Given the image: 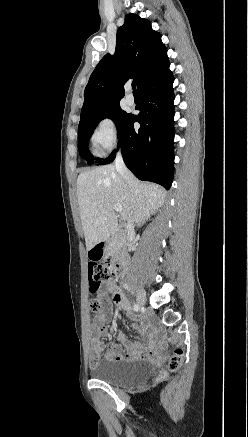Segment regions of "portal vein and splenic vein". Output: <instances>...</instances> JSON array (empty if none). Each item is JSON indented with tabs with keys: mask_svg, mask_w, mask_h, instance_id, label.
<instances>
[{
	"mask_svg": "<svg viewBox=\"0 0 248 437\" xmlns=\"http://www.w3.org/2000/svg\"><path fill=\"white\" fill-rule=\"evenodd\" d=\"M113 209H114L115 211H117V212H122V206H121V205L115 204V205L113 206Z\"/></svg>",
	"mask_w": 248,
	"mask_h": 437,
	"instance_id": "portal-vein-and-splenic-vein-1",
	"label": "portal vein and splenic vein"
}]
</instances>
